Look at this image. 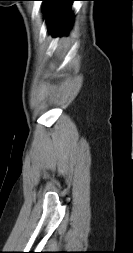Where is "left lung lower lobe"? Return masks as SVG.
Masks as SVG:
<instances>
[{"instance_id":"0a47b994","label":"left lung lower lobe","mask_w":133,"mask_h":253,"mask_svg":"<svg viewBox=\"0 0 133 253\" xmlns=\"http://www.w3.org/2000/svg\"><path fill=\"white\" fill-rule=\"evenodd\" d=\"M48 2L45 13L48 19V28L53 36L67 34L72 24L73 16L69 2L75 0H41Z\"/></svg>"}]
</instances>
